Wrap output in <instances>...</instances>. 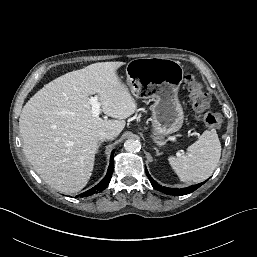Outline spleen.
Here are the masks:
<instances>
[{"label":"spleen","mask_w":257,"mask_h":257,"mask_svg":"<svg viewBox=\"0 0 257 257\" xmlns=\"http://www.w3.org/2000/svg\"><path fill=\"white\" fill-rule=\"evenodd\" d=\"M221 156V144L214 129L205 130L186 154L168 157V161L183 182H201L210 177Z\"/></svg>","instance_id":"obj_1"}]
</instances>
